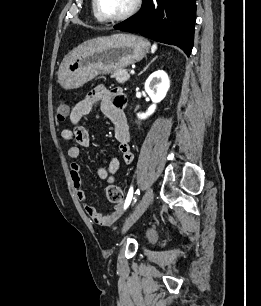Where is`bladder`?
I'll return each instance as SVG.
<instances>
[{
  "instance_id": "31cf9c89",
  "label": "bladder",
  "mask_w": 261,
  "mask_h": 306,
  "mask_svg": "<svg viewBox=\"0 0 261 306\" xmlns=\"http://www.w3.org/2000/svg\"><path fill=\"white\" fill-rule=\"evenodd\" d=\"M146 238H147L148 241H150V242L154 241L155 238H156V235H155L154 231L148 230V231L146 232Z\"/></svg>"
}]
</instances>
